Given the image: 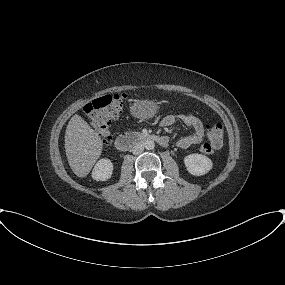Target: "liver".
Wrapping results in <instances>:
<instances>
[{
  "label": "liver",
  "mask_w": 285,
  "mask_h": 285,
  "mask_svg": "<svg viewBox=\"0 0 285 285\" xmlns=\"http://www.w3.org/2000/svg\"><path fill=\"white\" fill-rule=\"evenodd\" d=\"M65 152L70 168L78 177L87 176L102 153L100 136L78 114L67 125Z\"/></svg>",
  "instance_id": "obj_1"
}]
</instances>
